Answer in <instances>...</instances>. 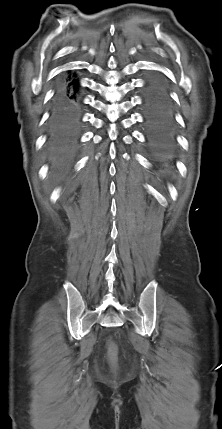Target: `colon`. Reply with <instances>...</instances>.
<instances>
[{
  "label": "colon",
  "mask_w": 222,
  "mask_h": 429,
  "mask_svg": "<svg viewBox=\"0 0 222 429\" xmlns=\"http://www.w3.org/2000/svg\"><path fill=\"white\" fill-rule=\"evenodd\" d=\"M109 360L112 367H116L117 360H116V346L114 342H109Z\"/></svg>",
  "instance_id": "colon-1"
}]
</instances>
